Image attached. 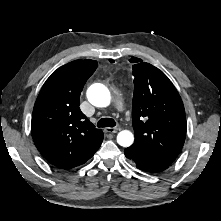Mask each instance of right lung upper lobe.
<instances>
[{"label":"right lung upper lobe","instance_id":"1","mask_svg":"<svg viewBox=\"0 0 221 221\" xmlns=\"http://www.w3.org/2000/svg\"><path fill=\"white\" fill-rule=\"evenodd\" d=\"M94 60H75L44 83L34 105L31 130L42 156L59 169L84 164L100 147L103 132L80 111V94L94 73Z\"/></svg>","mask_w":221,"mask_h":221}]
</instances>
